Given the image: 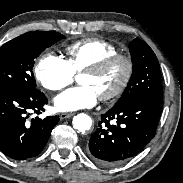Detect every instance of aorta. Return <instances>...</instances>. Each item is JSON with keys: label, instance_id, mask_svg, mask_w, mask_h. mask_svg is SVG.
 Here are the masks:
<instances>
[{"label": "aorta", "instance_id": "762f6f07", "mask_svg": "<svg viewBox=\"0 0 183 183\" xmlns=\"http://www.w3.org/2000/svg\"><path fill=\"white\" fill-rule=\"evenodd\" d=\"M72 124L76 130L80 132H86L92 127V119L87 114L80 113L74 116Z\"/></svg>", "mask_w": 183, "mask_h": 183}]
</instances>
